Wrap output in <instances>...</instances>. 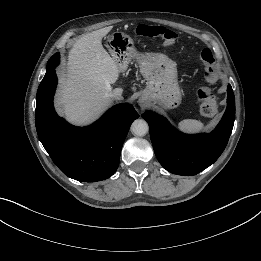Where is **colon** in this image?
I'll return each instance as SVG.
<instances>
[{"instance_id":"5ec220e1","label":"colon","mask_w":261,"mask_h":261,"mask_svg":"<svg viewBox=\"0 0 261 261\" xmlns=\"http://www.w3.org/2000/svg\"><path fill=\"white\" fill-rule=\"evenodd\" d=\"M137 34L148 38H158L165 47H172L175 44L177 35L175 32L168 30L162 26L139 25L136 29ZM200 61L204 66V77L208 82L215 78L214 57L212 52L205 48L200 52ZM198 98L201 102L200 111L203 115L213 117L219 112L218 103L213 99L208 89H200Z\"/></svg>"}]
</instances>
